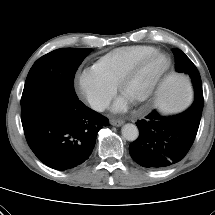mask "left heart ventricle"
<instances>
[{
    "label": "left heart ventricle",
    "instance_id": "obj_1",
    "mask_svg": "<svg viewBox=\"0 0 215 215\" xmlns=\"http://www.w3.org/2000/svg\"><path fill=\"white\" fill-rule=\"evenodd\" d=\"M164 64V57L158 56L153 58L127 86L124 95L133 102L142 96L158 75Z\"/></svg>",
    "mask_w": 215,
    "mask_h": 215
}]
</instances>
